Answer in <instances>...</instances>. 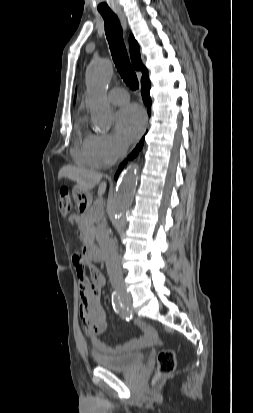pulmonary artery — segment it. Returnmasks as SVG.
<instances>
[{"mask_svg":"<svg viewBox=\"0 0 253 413\" xmlns=\"http://www.w3.org/2000/svg\"><path fill=\"white\" fill-rule=\"evenodd\" d=\"M108 100L114 105H121L129 100V96L124 89L114 88L108 94Z\"/></svg>","mask_w":253,"mask_h":413,"instance_id":"obj_1","label":"pulmonary artery"}]
</instances>
